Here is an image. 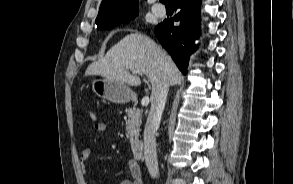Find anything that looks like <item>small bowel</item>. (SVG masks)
Masks as SVG:
<instances>
[{"label":"small bowel","instance_id":"obj_1","mask_svg":"<svg viewBox=\"0 0 293 184\" xmlns=\"http://www.w3.org/2000/svg\"><path fill=\"white\" fill-rule=\"evenodd\" d=\"M93 128L97 133H102L106 131L107 125L104 122H96ZM91 155L92 153L89 148L83 149L80 153L79 158H80V162L84 172H86L87 170V163L90 161ZM128 169H129L131 178L123 180L120 184H143L141 169L135 160L133 159L129 160Z\"/></svg>","mask_w":293,"mask_h":184}]
</instances>
